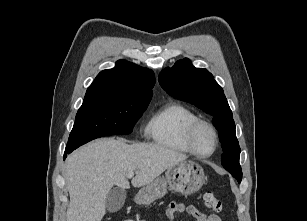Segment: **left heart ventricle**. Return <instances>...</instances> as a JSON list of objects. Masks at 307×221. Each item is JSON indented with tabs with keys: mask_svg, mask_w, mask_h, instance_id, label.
Masks as SVG:
<instances>
[{
	"mask_svg": "<svg viewBox=\"0 0 307 221\" xmlns=\"http://www.w3.org/2000/svg\"><path fill=\"white\" fill-rule=\"evenodd\" d=\"M194 143L199 152L209 153L214 145L213 136L207 128L201 127L195 134Z\"/></svg>",
	"mask_w": 307,
	"mask_h": 221,
	"instance_id": "obj_1",
	"label": "left heart ventricle"
}]
</instances>
